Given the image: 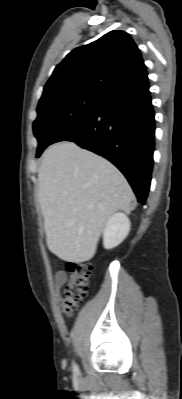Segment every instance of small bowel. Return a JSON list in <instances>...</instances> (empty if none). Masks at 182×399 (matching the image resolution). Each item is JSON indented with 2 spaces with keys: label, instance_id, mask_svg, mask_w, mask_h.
<instances>
[{
  "label": "small bowel",
  "instance_id": "small-bowel-1",
  "mask_svg": "<svg viewBox=\"0 0 182 399\" xmlns=\"http://www.w3.org/2000/svg\"><path fill=\"white\" fill-rule=\"evenodd\" d=\"M66 281V273L64 271H58L55 274V287L60 290Z\"/></svg>",
  "mask_w": 182,
  "mask_h": 399
}]
</instances>
